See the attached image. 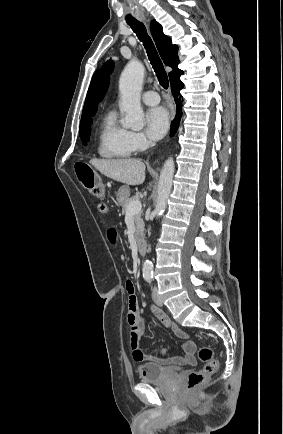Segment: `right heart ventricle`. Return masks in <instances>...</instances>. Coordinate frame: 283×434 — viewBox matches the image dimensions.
Returning <instances> with one entry per match:
<instances>
[{
    "label": "right heart ventricle",
    "mask_w": 283,
    "mask_h": 434,
    "mask_svg": "<svg viewBox=\"0 0 283 434\" xmlns=\"http://www.w3.org/2000/svg\"><path fill=\"white\" fill-rule=\"evenodd\" d=\"M97 150L105 158H128L133 152L129 131L119 124L113 111L107 113L101 123Z\"/></svg>",
    "instance_id": "right-heart-ventricle-1"
}]
</instances>
